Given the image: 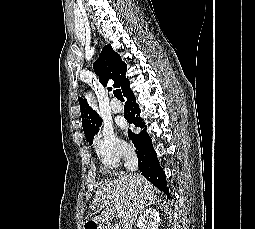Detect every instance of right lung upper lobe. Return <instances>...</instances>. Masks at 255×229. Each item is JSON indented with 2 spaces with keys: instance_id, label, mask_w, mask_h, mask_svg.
Returning <instances> with one entry per match:
<instances>
[{
  "instance_id": "cb5924a9",
  "label": "right lung upper lobe",
  "mask_w": 255,
  "mask_h": 229,
  "mask_svg": "<svg viewBox=\"0 0 255 229\" xmlns=\"http://www.w3.org/2000/svg\"><path fill=\"white\" fill-rule=\"evenodd\" d=\"M93 68L102 85L106 86L108 80L112 79L114 87H121L122 91L125 90L129 82L125 76L127 65L110 45L103 48L99 59L94 62ZM78 100L81 108L83 130L86 138L89 139L96 133L102 123V119L89 107L85 99L79 98Z\"/></svg>"
}]
</instances>
